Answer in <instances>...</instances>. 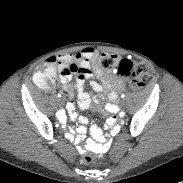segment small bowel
Returning a JSON list of instances; mask_svg holds the SVG:
<instances>
[{"label":"small bowel","mask_w":183,"mask_h":183,"mask_svg":"<svg viewBox=\"0 0 183 183\" xmlns=\"http://www.w3.org/2000/svg\"><path fill=\"white\" fill-rule=\"evenodd\" d=\"M98 52L91 47L84 48L81 52L70 55L52 56L46 60L44 67H52L60 74V82L62 88L67 92L70 97L77 94V103L70 100L66 105V110L72 121L78 119L79 125L76 126L75 132L78 135L75 139L73 147L77 150V161L79 164L84 165L87 163L88 152L84 149L82 142L86 132L88 120L84 117H77L75 109L86 110L92 108L94 110L100 109L102 96H91L84 91V84L89 81L90 86L96 93H101L104 89H108L107 99L108 102L104 105V109L109 113H117L118 107L115 104L118 94L124 89V83L112 76L105 74L98 65ZM94 75L101 79L102 83L94 79ZM54 118L56 121L61 122L64 120L65 115L63 112L58 111L55 113ZM127 121L123 117L117 115L110 116L106 120V128H109L111 133L117 135L120 133L121 128L125 127ZM59 128L65 132L66 139L71 140L74 138L75 133L69 129L68 122L63 121L60 123ZM90 139L86 142L88 149L93 150L92 156L96 160H103L107 156V151L110 145L107 141L103 140V134L96 127H92Z\"/></svg>","instance_id":"1"}]
</instances>
